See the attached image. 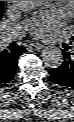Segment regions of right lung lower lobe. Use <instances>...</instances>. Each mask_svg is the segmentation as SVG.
Here are the masks:
<instances>
[{"label": "right lung lower lobe", "instance_id": "98d812e1", "mask_svg": "<svg viewBox=\"0 0 74 122\" xmlns=\"http://www.w3.org/2000/svg\"><path fill=\"white\" fill-rule=\"evenodd\" d=\"M25 48L20 46L10 52L0 51V88L9 85L13 80L19 56Z\"/></svg>", "mask_w": 74, "mask_h": 122}]
</instances>
